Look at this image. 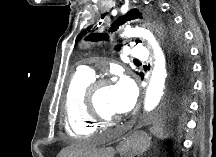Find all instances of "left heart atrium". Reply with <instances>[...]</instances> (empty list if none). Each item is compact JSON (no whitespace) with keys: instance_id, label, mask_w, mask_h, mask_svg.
I'll use <instances>...</instances> for the list:
<instances>
[{"instance_id":"left-heart-atrium-1","label":"left heart atrium","mask_w":216,"mask_h":157,"mask_svg":"<svg viewBox=\"0 0 216 157\" xmlns=\"http://www.w3.org/2000/svg\"><path fill=\"white\" fill-rule=\"evenodd\" d=\"M111 105L118 113L128 112L134 105L136 90L132 82L121 76L118 81L110 87Z\"/></svg>"}]
</instances>
